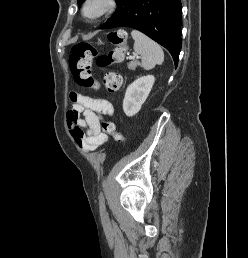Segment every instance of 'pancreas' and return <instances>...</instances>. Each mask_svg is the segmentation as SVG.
<instances>
[{
	"label": "pancreas",
	"instance_id": "pancreas-1",
	"mask_svg": "<svg viewBox=\"0 0 248 258\" xmlns=\"http://www.w3.org/2000/svg\"><path fill=\"white\" fill-rule=\"evenodd\" d=\"M138 65H139V62L134 60V61L128 63V69L135 70Z\"/></svg>",
	"mask_w": 248,
	"mask_h": 258
}]
</instances>
